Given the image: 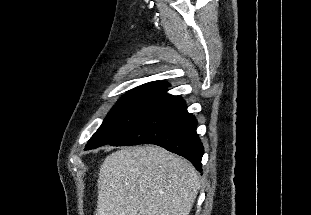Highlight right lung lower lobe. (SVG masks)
Wrapping results in <instances>:
<instances>
[{
	"label": "right lung lower lobe",
	"instance_id": "right-lung-lower-lobe-1",
	"mask_svg": "<svg viewBox=\"0 0 311 215\" xmlns=\"http://www.w3.org/2000/svg\"><path fill=\"white\" fill-rule=\"evenodd\" d=\"M197 120L188 113L179 96L165 94L162 100L112 146L155 144L188 159L202 171L204 153L196 133Z\"/></svg>",
	"mask_w": 311,
	"mask_h": 215
}]
</instances>
